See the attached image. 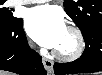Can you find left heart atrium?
<instances>
[{"label":"left heart atrium","mask_w":102,"mask_h":75,"mask_svg":"<svg viewBox=\"0 0 102 75\" xmlns=\"http://www.w3.org/2000/svg\"><path fill=\"white\" fill-rule=\"evenodd\" d=\"M25 27L30 37L45 48H56L66 31L59 11L47 5L31 9Z\"/></svg>","instance_id":"left-heart-atrium-1"}]
</instances>
